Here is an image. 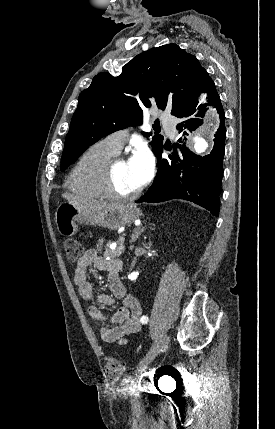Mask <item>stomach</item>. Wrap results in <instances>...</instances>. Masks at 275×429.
I'll return each mask as SVG.
<instances>
[{
	"label": "stomach",
	"mask_w": 275,
	"mask_h": 429,
	"mask_svg": "<svg viewBox=\"0 0 275 429\" xmlns=\"http://www.w3.org/2000/svg\"><path fill=\"white\" fill-rule=\"evenodd\" d=\"M141 216V211L131 204H118L102 211H85L70 203L60 204L55 213L58 231L65 236L78 232V224L97 225L116 230L129 225Z\"/></svg>",
	"instance_id": "1"
}]
</instances>
